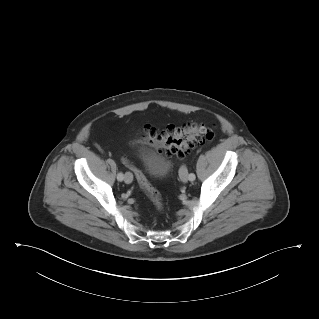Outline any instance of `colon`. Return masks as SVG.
<instances>
[{"instance_id":"5ec220e1","label":"colon","mask_w":319,"mask_h":319,"mask_svg":"<svg viewBox=\"0 0 319 319\" xmlns=\"http://www.w3.org/2000/svg\"><path fill=\"white\" fill-rule=\"evenodd\" d=\"M145 140L163 149L167 155L184 158L193 148L213 138V130L202 123L184 122L180 126H168L162 131L147 127L144 129ZM124 164L132 170L141 189L153 205L161 210L163 201L158 191L149 183L144 173L129 160Z\"/></svg>"}]
</instances>
